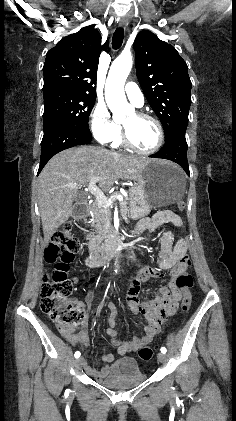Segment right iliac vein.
<instances>
[{"mask_svg":"<svg viewBox=\"0 0 236 421\" xmlns=\"http://www.w3.org/2000/svg\"><path fill=\"white\" fill-rule=\"evenodd\" d=\"M83 364H84V358L83 357H80V358L75 360V367L77 369H80Z\"/></svg>","mask_w":236,"mask_h":421,"instance_id":"1","label":"right iliac vein"}]
</instances>
